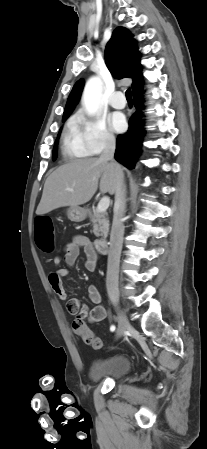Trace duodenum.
Listing matches in <instances>:
<instances>
[{"mask_svg":"<svg viewBox=\"0 0 207 449\" xmlns=\"http://www.w3.org/2000/svg\"><path fill=\"white\" fill-rule=\"evenodd\" d=\"M95 247L99 253L104 254L108 252V240L101 238L95 241Z\"/></svg>","mask_w":207,"mask_h":449,"instance_id":"obj_1","label":"duodenum"}]
</instances>
